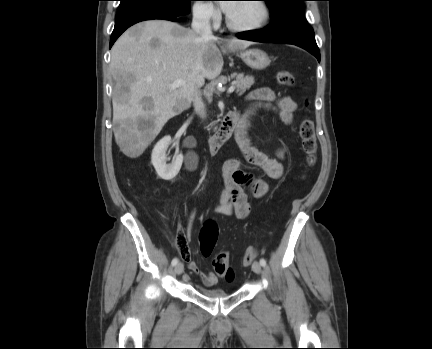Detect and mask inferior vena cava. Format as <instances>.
I'll list each match as a JSON object with an SVG mask.
<instances>
[{
	"label": "inferior vena cava",
	"instance_id": "1",
	"mask_svg": "<svg viewBox=\"0 0 432 349\" xmlns=\"http://www.w3.org/2000/svg\"><path fill=\"white\" fill-rule=\"evenodd\" d=\"M191 27L198 35L203 38H213V33L210 24V13L207 9H197L193 12V20ZM195 111L201 116H205V105L202 98L196 92L193 100Z\"/></svg>",
	"mask_w": 432,
	"mask_h": 349
}]
</instances>
